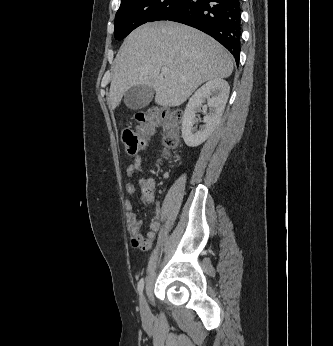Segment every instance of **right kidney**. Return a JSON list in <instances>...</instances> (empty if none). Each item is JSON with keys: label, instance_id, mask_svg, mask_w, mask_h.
<instances>
[{"label": "right kidney", "instance_id": "right-kidney-1", "mask_svg": "<svg viewBox=\"0 0 333 346\" xmlns=\"http://www.w3.org/2000/svg\"><path fill=\"white\" fill-rule=\"evenodd\" d=\"M230 87L223 79H212L200 87L189 99L182 120V138L189 147L202 144L214 131L224 112ZM207 104L203 106V103ZM203 108L205 123L198 130L194 127L197 122L196 113ZM209 108V113L207 110Z\"/></svg>", "mask_w": 333, "mask_h": 346}]
</instances>
